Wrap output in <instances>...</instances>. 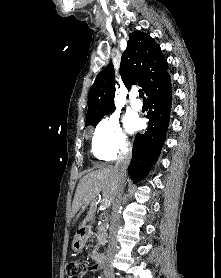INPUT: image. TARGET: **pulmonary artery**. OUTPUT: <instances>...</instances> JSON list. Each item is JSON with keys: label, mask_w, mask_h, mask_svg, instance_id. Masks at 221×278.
Here are the masks:
<instances>
[{"label": "pulmonary artery", "mask_w": 221, "mask_h": 278, "mask_svg": "<svg viewBox=\"0 0 221 278\" xmlns=\"http://www.w3.org/2000/svg\"><path fill=\"white\" fill-rule=\"evenodd\" d=\"M137 92L134 91L130 95V105L134 110H141L143 107L142 102L137 98Z\"/></svg>", "instance_id": "1"}]
</instances>
